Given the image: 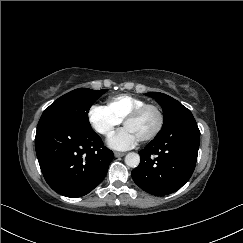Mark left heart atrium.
Returning a JSON list of instances; mask_svg holds the SVG:
<instances>
[{"label": "left heart atrium", "mask_w": 243, "mask_h": 243, "mask_svg": "<svg viewBox=\"0 0 243 243\" xmlns=\"http://www.w3.org/2000/svg\"><path fill=\"white\" fill-rule=\"evenodd\" d=\"M137 142L138 139L127 127L112 133L107 140L108 146L118 151L131 149Z\"/></svg>", "instance_id": "39dd6f15"}]
</instances>
